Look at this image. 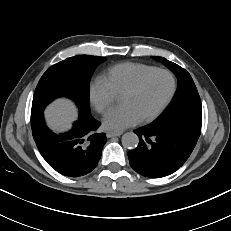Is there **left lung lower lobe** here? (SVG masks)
<instances>
[{"label":"left lung lower lobe","mask_w":231,"mask_h":231,"mask_svg":"<svg viewBox=\"0 0 231 231\" xmlns=\"http://www.w3.org/2000/svg\"><path fill=\"white\" fill-rule=\"evenodd\" d=\"M134 132L139 145L128 152L130 166L143 176L159 178L175 172L186 162L200 136L201 124L152 123Z\"/></svg>","instance_id":"obj_1"}]
</instances>
